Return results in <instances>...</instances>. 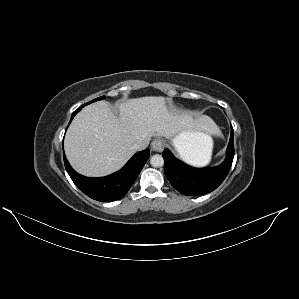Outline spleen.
<instances>
[{
	"label": "spleen",
	"instance_id": "3e777b00",
	"mask_svg": "<svg viewBox=\"0 0 299 299\" xmlns=\"http://www.w3.org/2000/svg\"><path fill=\"white\" fill-rule=\"evenodd\" d=\"M206 123L209 128H213L215 126V123L210 118H208L206 120ZM208 138L210 139V141H212L211 136H208ZM181 156L193 165L204 166V165L208 164V162L211 158V150L204 152L199 157H192V156L189 157V156H184V155H181Z\"/></svg>",
	"mask_w": 299,
	"mask_h": 299
}]
</instances>
